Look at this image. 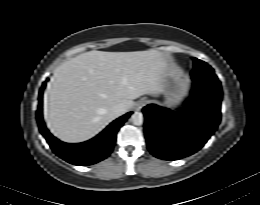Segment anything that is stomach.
<instances>
[{"label":"stomach","mask_w":260,"mask_h":205,"mask_svg":"<svg viewBox=\"0 0 260 205\" xmlns=\"http://www.w3.org/2000/svg\"><path fill=\"white\" fill-rule=\"evenodd\" d=\"M162 94L168 106H174L180 102L186 91V82L180 72L168 63L161 75Z\"/></svg>","instance_id":"1"}]
</instances>
